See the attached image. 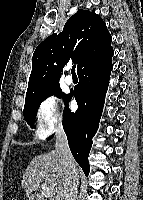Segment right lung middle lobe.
Masks as SVG:
<instances>
[{"label": "right lung middle lobe", "instance_id": "1", "mask_svg": "<svg viewBox=\"0 0 143 200\" xmlns=\"http://www.w3.org/2000/svg\"><path fill=\"white\" fill-rule=\"evenodd\" d=\"M51 95H55L57 97H63L66 99L67 95L63 94L59 84L51 85L45 88H42L30 96H27L25 99L24 105V119L25 121L33 128L34 121L37 114V110L42 101L48 98Z\"/></svg>", "mask_w": 143, "mask_h": 200}]
</instances>
